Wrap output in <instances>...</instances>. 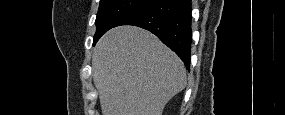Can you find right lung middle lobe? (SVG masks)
Masks as SVG:
<instances>
[{
	"mask_svg": "<svg viewBox=\"0 0 285 115\" xmlns=\"http://www.w3.org/2000/svg\"><path fill=\"white\" fill-rule=\"evenodd\" d=\"M151 0H100L96 17V33L93 45L109 29L114 27L123 17L147 4Z\"/></svg>",
	"mask_w": 285,
	"mask_h": 115,
	"instance_id": "1",
	"label": "right lung middle lobe"
}]
</instances>
